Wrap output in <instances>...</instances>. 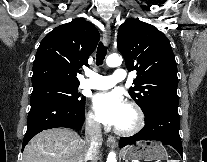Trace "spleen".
<instances>
[{"label":"spleen","mask_w":207,"mask_h":162,"mask_svg":"<svg viewBox=\"0 0 207 162\" xmlns=\"http://www.w3.org/2000/svg\"><path fill=\"white\" fill-rule=\"evenodd\" d=\"M167 162H179L178 160H168Z\"/></svg>","instance_id":"spleen-1"}]
</instances>
